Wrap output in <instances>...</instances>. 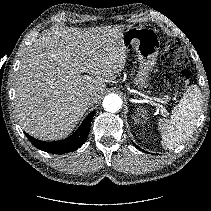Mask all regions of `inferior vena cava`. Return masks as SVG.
<instances>
[{
	"instance_id": "inferior-vena-cava-1",
	"label": "inferior vena cava",
	"mask_w": 211,
	"mask_h": 211,
	"mask_svg": "<svg viewBox=\"0 0 211 211\" xmlns=\"http://www.w3.org/2000/svg\"><path fill=\"white\" fill-rule=\"evenodd\" d=\"M94 99H95V98H94L92 95H84V96L82 97V101H83L85 104H88V105L92 104L93 101H94Z\"/></svg>"
}]
</instances>
